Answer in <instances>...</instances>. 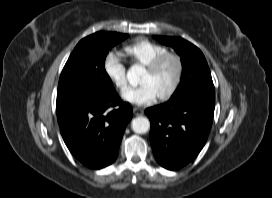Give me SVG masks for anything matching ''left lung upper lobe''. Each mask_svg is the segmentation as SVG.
<instances>
[{
	"label": "left lung upper lobe",
	"instance_id": "obj_1",
	"mask_svg": "<svg viewBox=\"0 0 272 198\" xmlns=\"http://www.w3.org/2000/svg\"><path fill=\"white\" fill-rule=\"evenodd\" d=\"M155 39L174 48L181 57L182 78L172 97L193 90H214L206 59L196 46L179 37L156 36Z\"/></svg>",
	"mask_w": 272,
	"mask_h": 198
}]
</instances>
